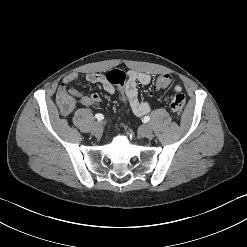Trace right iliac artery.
Returning a JSON list of instances; mask_svg holds the SVG:
<instances>
[{
	"mask_svg": "<svg viewBox=\"0 0 247 247\" xmlns=\"http://www.w3.org/2000/svg\"><path fill=\"white\" fill-rule=\"evenodd\" d=\"M95 118H97L98 120H102L104 118V116L100 113L95 115Z\"/></svg>",
	"mask_w": 247,
	"mask_h": 247,
	"instance_id": "obj_1",
	"label": "right iliac artery"
}]
</instances>
